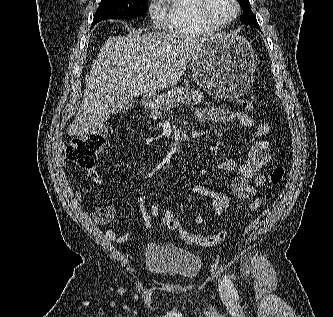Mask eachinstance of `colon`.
Instances as JSON below:
<instances>
[{"instance_id":"1","label":"colon","mask_w":333,"mask_h":317,"mask_svg":"<svg viewBox=\"0 0 333 317\" xmlns=\"http://www.w3.org/2000/svg\"><path fill=\"white\" fill-rule=\"evenodd\" d=\"M239 105L248 111L253 109V103L248 99H240ZM105 144L106 135L102 131H96L84 136L76 137L66 149L67 159L81 168L93 169L97 164L98 155L105 147ZM284 177L285 168L283 166H276L272 169L269 175V182L272 185H277L282 182ZM262 202V197L258 196L254 198L249 204V211L254 212L258 210L261 207ZM159 220L162 221L168 229L177 233L180 238L188 244L204 247L214 246L224 242L229 235L227 231H221L207 236L191 234L183 230L179 219L170 209L160 211Z\"/></svg>"}]
</instances>
